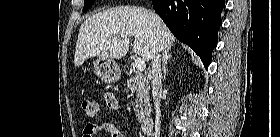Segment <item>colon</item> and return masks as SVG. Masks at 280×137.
<instances>
[{"instance_id": "colon-1", "label": "colon", "mask_w": 280, "mask_h": 137, "mask_svg": "<svg viewBox=\"0 0 280 137\" xmlns=\"http://www.w3.org/2000/svg\"><path fill=\"white\" fill-rule=\"evenodd\" d=\"M81 107L84 113L90 117H94L99 111V105L93 100L84 99L81 103Z\"/></svg>"}]
</instances>
